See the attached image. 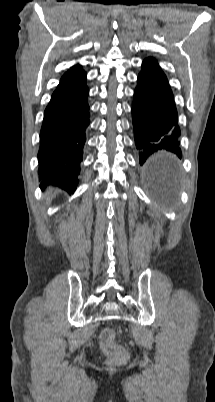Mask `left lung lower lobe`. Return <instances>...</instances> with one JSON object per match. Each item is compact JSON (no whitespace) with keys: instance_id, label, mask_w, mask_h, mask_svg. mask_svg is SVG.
Returning <instances> with one entry per match:
<instances>
[{"instance_id":"obj_1","label":"left lung lower lobe","mask_w":215,"mask_h":402,"mask_svg":"<svg viewBox=\"0 0 215 402\" xmlns=\"http://www.w3.org/2000/svg\"><path fill=\"white\" fill-rule=\"evenodd\" d=\"M134 138L139 150L140 165L161 151H170L181 158L178 113L168 80L158 62L149 57L142 63L132 104ZM157 176V167L147 165Z\"/></svg>"}]
</instances>
